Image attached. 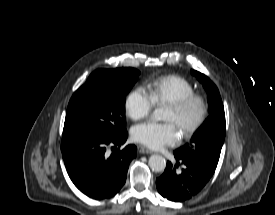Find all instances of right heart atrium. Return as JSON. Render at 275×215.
Masks as SVG:
<instances>
[{
	"label": "right heart atrium",
	"mask_w": 275,
	"mask_h": 215,
	"mask_svg": "<svg viewBox=\"0 0 275 215\" xmlns=\"http://www.w3.org/2000/svg\"><path fill=\"white\" fill-rule=\"evenodd\" d=\"M154 103L149 94L142 88L136 87L125 98L124 107L127 115L132 120H140L147 117Z\"/></svg>",
	"instance_id": "right-heart-atrium-1"
}]
</instances>
